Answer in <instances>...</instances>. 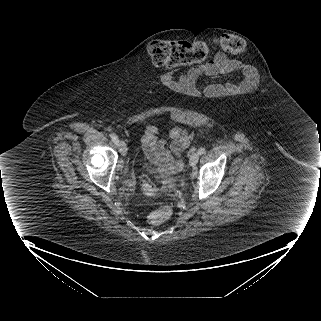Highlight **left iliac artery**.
<instances>
[{
    "label": "left iliac artery",
    "mask_w": 321,
    "mask_h": 321,
    "mask_svg": "<svg viewBox=\"0 0 321 321\" xmlns=\"http://www.w3.org/2000/svg\"><path fill=\"white\" fill-rule=\"evenodd\" d=\"M205 152H206L205 148H200V149L198 150V153H199L200 155L204 154Z\"/></svg>",
    "instance_id": "left-iliac-artery-1"
}]
</instances>
